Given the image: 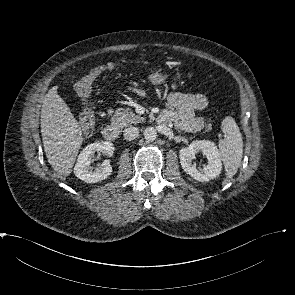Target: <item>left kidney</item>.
<instances>
[{
    "label": "left kidney",
    "instance_id": "left-kidney-1",
    "mask_svg": "<svg viewBox=\"0 0 295 295\" xmlns=\"http://www.w3.org/2000/svg\"><path fill=\"white\" fill-rule=\"evenodd\" d=\"M199 152H202L208 160L207 165H204L203 168H198L193 163L195 154ZM179 157L183 170L197 181L208 182L221 173L222 162L214 142L206 140L193 141L188 147L180 150Z\"/></svg>",
    "mask_w": 295,
    "mask_h": 295
}]
</instances>
